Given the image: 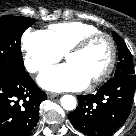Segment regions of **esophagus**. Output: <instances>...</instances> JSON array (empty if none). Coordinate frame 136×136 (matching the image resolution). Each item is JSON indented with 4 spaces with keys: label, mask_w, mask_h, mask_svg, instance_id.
Wrapping results in <instances>:
<instances>
[{
    "label": "esophagus",
    "mask_w": 136,
    "mask_h": 136,
    "mask_svg": "<svg viewBox=\"0 0 136 136\" xmlns=\"http://www.w3.org/2000/svg\"><path fill=\"white\" fill-rule=\"evenodd\" d=\"M57 96H59V94H57V93H53V92H48L47 93L48 98H54V97H57Z\"/></svg>",
    "instance_id": "esophagus-1"
}]
</instances>
